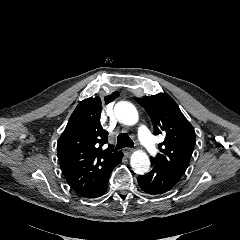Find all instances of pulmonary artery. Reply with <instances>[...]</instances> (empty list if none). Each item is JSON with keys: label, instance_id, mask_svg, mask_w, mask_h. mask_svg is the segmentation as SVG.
<instances>
[{"label": "pulmonary artery", "instance_id": "1", "mask_svg": "<svg viewBox=\"0 0 240 240\" xmlns=\"http://www.w3.org/2000/svg\"><path fill=\"white\" fill-rule=\"evenodd\" d=\"M138 137L142 145L148 150L149 153H156V148L151 133L144 124H140L138 126Z\"/></svg>", "mask_w": 240, "mask_h": 240}]
</instances>
